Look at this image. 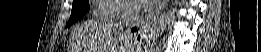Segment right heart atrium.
<instances>
[{
    "instance_id": "obj_1",
    "label": "right heart atrium",
    "mask_w": 261,
    "mask_h": 52,
    "mask_svg": "<svg viewBox=\"0 0 261 52\" xmlns=\"http://www.w3.org/2000/svg\"><path fill=\"white\" fill-rule=\"evenodd\" d=\"M104 2L118 6V9L111 12L110 16L116 18H132L135 15L134 6L126 0H104Z\"/></svg>"
}]
</instances>
